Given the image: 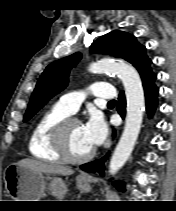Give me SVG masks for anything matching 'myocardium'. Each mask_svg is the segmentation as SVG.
Segmentation results:
<instances>
[{"instance_id":"1","label":"myocardium","mask_w":176,"mask_h":211,"mask_svg":"<svg viewBox=\"0 0 176 211\" xmlns=\"http://www.w3.org/2000/svg\"><path fill=\"white\" fill-rule=\"evenodd\" d=\"M72 123H80V121L75 117L67 116L55 124L51 132V142L62 161L78 164L91 159L95 154V149L92 148L89 152L80 156H75L70 152L67 143V129Z\"/></svg>"}]
</instances>
